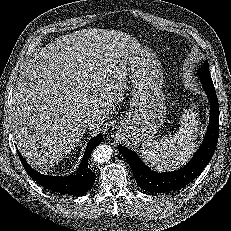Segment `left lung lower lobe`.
I'll use <instances>...</instances> for the list:
<instances>
[{
  "mask_svg": "<svg viewBox=\"0 0 231 231\" xmlns=\"http://www.w3.org/2000/svg\"><path fill=\"white\" fill-rule=\"evenodd\" d=\"M201 83L210 100V122L203 143L183 168L168 173L151 171L135 152L125 146L118 145L119 151L132 168L137 184L143 190L150 193L180 190L191 183L211 160L219 136V105L213 81L201 79Z\"/></svg>",
  "mask_w": 231,
  "mask_h": 231,
  "instance_id": "left-lung-lower-lobe-1",
  "label": "left lung lower lobe"
}]
</instances>
